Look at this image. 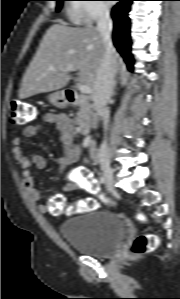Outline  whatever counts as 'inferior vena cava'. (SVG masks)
Listing matches in <instances>:
<instances>
[{
    "label": "inferior vena cava",
    "mask_w": 180,
    "mask_h": 299,
    "mask_svg": "<svg viewBox=\"0 0 180 299\" xmlns=\"http://www.w3.org/2000/svg\"><path fill=\"white\" fill-rule=\"evenodd\" d=\"M97 29L103 37L105 45V53L100 61L99 68L96 74L95 88L93 92L94 109L101 117L104 125V131L108 130L110 112L107 103L113 94L114 84V61H113V46L111 41L112 20L110 12L107 8L101 7L97 12ZM106 135V134H105ZM109 156V149L107 139L105 137L98 152L100 160L107 159Z\"/></svg>",
    "instance_id": "inferior-vena-cava-1"
}]
</instances>
